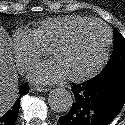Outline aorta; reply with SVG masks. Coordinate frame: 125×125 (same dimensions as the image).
<instances>
[{
    "label": "aorta",
    "instance_id": "762f6f07",
    "mask_svg": "<svg viewBox=\"0 0 125 125\" xmlns=\"http://www.w3.org/2000/svg\"><path fill=\"white\" fill-rule=\"evenodd\" d=\"M73 95L65 88H56L52 90L48 97L50 108L58 113L69 111L73 104Z\"/></svg>",
    "mask_w": 125,
    "mask_h": 125
}]
</instances>
